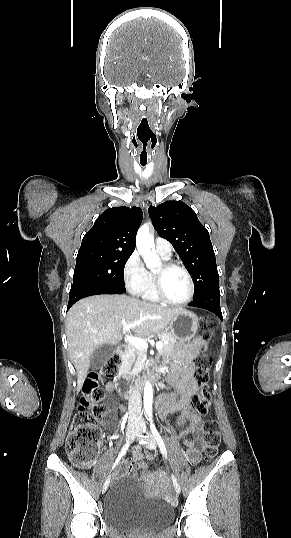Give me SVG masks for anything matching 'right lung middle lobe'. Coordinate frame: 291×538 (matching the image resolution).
<instances>
[{"label":"right lung middle lobe","mask_w":291,"mask_h":538,"mask_svg":"<svg viewBox=\"0 0 291 538\" xmlns=\"http://www.w3.org/2000/svg\"><path fill=\"white\" fill-rule=\"evenodd\" d=\"M131 254L113 250L79 251L70 294L85 289L125 293L124 267Z\"/></svg>","instance_id":"dd1d6c3e"}]
</instances>
